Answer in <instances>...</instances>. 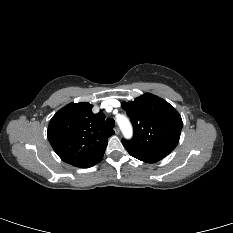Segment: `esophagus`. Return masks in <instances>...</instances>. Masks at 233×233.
Here are the masks:
<instances>
[{
	"label": "esophagus",
	"mask_w": 233,
	"mask_h": 233,
	"mask_svg": "<svg viewBox=\"0 0 233 233\" xmlns=\"http://www.w3.org/2000/svg\"><path fill=\"white\" fill-rule=\"evenodd\" d=\"M114 131H115V134H117V135L120 133V129L118 127H115Z\"/></svg>",
	"instance_id": "34e87169"
}]
</instances>
